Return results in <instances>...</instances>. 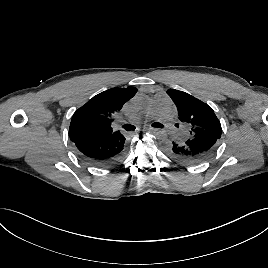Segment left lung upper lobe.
<instances>
[{"instance_id":"5c2ea615","label":"left lung upper lobe","mask_w":268,"mask_h":268,"mask_svg":"<svg viewBox=\"0 0 268 268\" xmlns=\"http://www.w3.org/2000/svg\"><path fill=\"white\" fill-rule=\"evenodd\" d=\"M167 94L178 109L179 120L190 127V137L221 138L220 121L209 105L183 91L169 89Z\"/></svg>"}]
</instances>
